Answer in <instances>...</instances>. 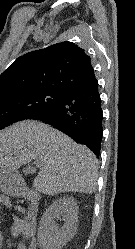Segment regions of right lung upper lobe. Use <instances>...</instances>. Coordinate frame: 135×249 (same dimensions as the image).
I'll return each mask as SVG.
<instances>
[{"label": "right lung upper lobe", "mask_w": 135, "mask_h": 249, "mask_svg": "<svg viewBox=\"0 0 135 249\" xmlns=\"http://www.w3.org/2000/svg\"><path fill=\"white\" fill-rule=\"evenodd\" d=\"M95 78L88 54L65 41L17 58L0 75V97L33 91L63 93Z\"/></svg>", "instance_id": "obj_1"}]
</instances>
